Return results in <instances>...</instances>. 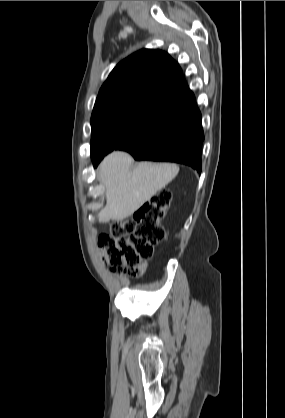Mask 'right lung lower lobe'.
<instances>
[{
    "label": "right lung lower lobe",
    "instance_id": "obj_1",
    "mask_svg": "<svg viewBox=\"0 0 285 418\" xmlns=\"http://www.w3.org/2000/svg\"><path fill=\"white\" fill-rule=\"evenodd\" d=\"M204 133L195 98L173 109L161 122L120 150L136 160L167 161L201 171ZM101 159H94L95 167Z\"/></svg>",
    "mask_w": 285,
    "mask_h": 418
}]
</instances>
